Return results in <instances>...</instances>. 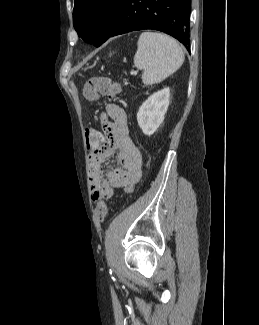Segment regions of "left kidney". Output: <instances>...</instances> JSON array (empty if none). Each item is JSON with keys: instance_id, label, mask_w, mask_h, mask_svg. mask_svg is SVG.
<instances>
[{"instance_id": "5707ae66", "label": "left kidney", "mask_w": 259, "mask_h": 325, "mask_svg": "<svg viewBox=\"0 0 259 325\" xmlns=\"http://www.w3.org/2000/svg\"><path fill=\"white\" fill-rule=\"evenodd\" d=\"M169 97V88H164L152 94L140 106L137 121L145 135H152L164 121L169 106Z\"/></svg>"}]
</instances>
